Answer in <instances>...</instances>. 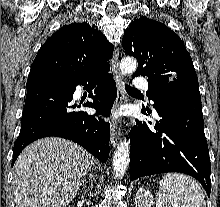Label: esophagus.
<instances>
[{
	"label": "esophagus",
	"mask_w": 220,
	"mask_h": 207,
	"mask_svg": "<svg viewBox=\"0 0 220 207\" xmlns=\"http://www.w3.org/2000/svg\"><path fill=\"white\" fill-rule=\"evenodd\" d=\"M118 58H119V49L117 48V50L115 51L114 56L112 58V62H111L113 78H114V80L116 82V86H117V97L115 100L114 109L119 107V105H121L125 100L123 78H122V75L119 71ZM120 135H121L120 128L117 125V123L114 122L112 129H111V136H110L111 144L113 147H115L118 144V142L120 140Z\"/></svg>",
	"instance_id": "1"
}]
</instances>
